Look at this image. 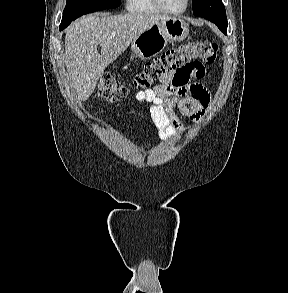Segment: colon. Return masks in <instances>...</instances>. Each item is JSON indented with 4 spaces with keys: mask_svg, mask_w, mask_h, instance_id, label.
Segmentation results:
<instances>
[{
    "mask_svg": "<svg viewBox=\"0 0 288 293\" xmlns=\"http://www.w3.org/2000/svg\"><path fill=\"white\" fill-rule=\"evenodd\" d=\"M218 45L208 40H190L148 62L143 70L134 76L130 85L119 81L115 76L106 74L98 83V95L109 102H119L129 96L130 88L148 89L162 75L175 72L194 62L207 65L215 63Z\"/></svg>",
    "mask_w": 288,
    "mask_h": 293,
    "instance_id": "5ec220e1",
    "label": "colon"
}]
</instances>
